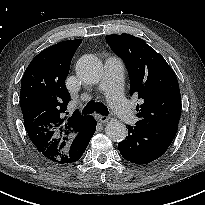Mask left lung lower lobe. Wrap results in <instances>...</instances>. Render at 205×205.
Instances as JSON below:
<instances>
[{
  "label": "left lung lower lobe",
  "instance_id": "obj_1",
  "mask_svg": "<svg viewBox=\"0 0 205 205\" xmlns=\"http://www.w3.org/2000/svg\"><path fill=\"white\" fill-rule=\"evenodd\" d=\"M178 124L163 125L137 121L128 126V137L118 143L121 155L129 162L147 164L162 156L172 143Z\"/></svg>",
  "mask_w": 205,
  "mask_h": 205
}]
</instances>
